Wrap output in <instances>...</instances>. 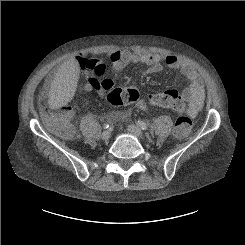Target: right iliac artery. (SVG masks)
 Segmentation results:
<instances>
[{
  "label": "right iliac artery",
  "mask_w": 245,
  "mask_h": 245,
  "mask_svg": "<svg viewBox=\"0 0 245 245\" xmlns=\"http://www.w3.org/2000/svg\"><path fill=\"white\" fill-rule=\"evenodd\" d=\"M105 129H110L111 128V126L108 124V123H106V124H104V126H103Z\"/></svg>",
  "instance_id": "right-iliac-artery-1"
}]
</instances>
